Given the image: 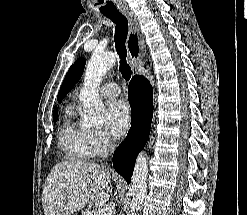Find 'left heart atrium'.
<instances>
[{"label":"left heart atrium","instance_id":"1","mask_svg":"<svg viewBox=\"0 0 247 215\" xmlns=\"http://www.w3.org/2000/svg\"><path fill=\"white\" fill-rule=\"evenodd\" d=\"M130 123V109L123 100L112 101L105 112L107 130L116 138L124 135Z\"/></svg>","mask_w":247,"mask_h":215}]
</instances>
